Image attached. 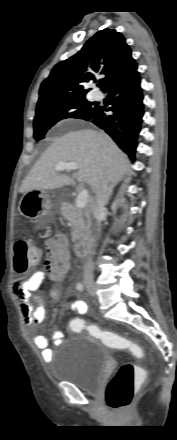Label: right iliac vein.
<instances>
[{"instance_id":"63e3f726","label":"right iliac vein","mask_w":177,"mask_h":440,"mask_svg":"<svg viewBox=\"0 0 177 440\" xmlns=\"http://www.w3.org/2000/svg\"><path fill=\"white\" fill-rule=\"evenodd\" d=\"M85 287L91 295L95 294V286H94L93 282L85 281Z\"/></svg>"}]
</instances>
